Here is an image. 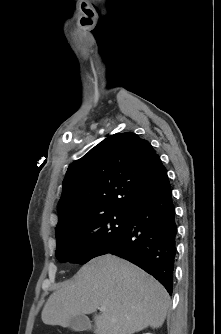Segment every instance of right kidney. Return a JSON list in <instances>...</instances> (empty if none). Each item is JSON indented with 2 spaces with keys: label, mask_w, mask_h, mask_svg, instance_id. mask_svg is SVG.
<instances>
[{
  "label": "right kidney",
  "mask_w": 221,
  "mask_h": 334,
  "mask_svg": "<svg viewBox=\"0 0 221 334\" xmlns=\"http://www.w3.org/2000/svg\"><path fill=\"white\" fill-rule=\"evenodd\" d=\"M144 334H152V333H144Z\"/></svg>",
  "instance_id": "right-kidney-1"
}]
</instances>
